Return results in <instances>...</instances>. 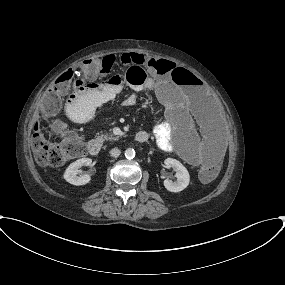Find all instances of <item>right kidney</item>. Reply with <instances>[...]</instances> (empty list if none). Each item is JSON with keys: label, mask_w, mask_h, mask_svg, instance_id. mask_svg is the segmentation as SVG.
<instances>
[{"label": "right kidney", "mask_w": 285, "mask_h": 285, "mask_svg": "<svg viewBox=\"0 0 285 285\" xmlns=\"http://www.w3.org/2000/svg\"><path fill=\"white\" fill-rule=\"evenodd\" d=\"M92 159L90 158H81L73 162L68 166L64 173V179L72 185H85L90 182L91 176L89 174H82L78 176L80 172L79 168L82 166H90Z\"/></svg>", "instance_id": "1"}]
</instances>
